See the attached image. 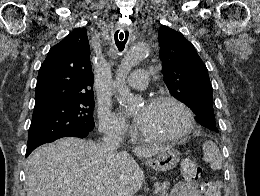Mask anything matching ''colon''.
<instances>
[{
	"mask_svg": "<svg viewBox=\"0 0 260 196\" xmlns=\"http://www.w3.org/2000/svg\"><path fill=\"white\" fill-rule=\"evenodd\" d=\"M203 172L201 166L193 160L185 159L181 165L182 182H202Z\"/></svg>",
	"mask_w": 260,
	"mask_h": 196,
	"instance_id": "1",
	"label": "colon"
}]
</instances>
